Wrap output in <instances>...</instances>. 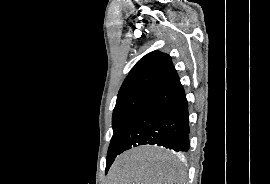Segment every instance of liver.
<instances>
[{"mask_svg":"<svg viewBox=\"0 0 270 184\" xmlns=\"http://www.w3.org/2000/svg\"><path fill=\"white\" fill-rule=\"evenodd\" d=\"M108 180L109 184H186V174L172 165L167 151L145 145L119 155Z\"/></svg>","mask_w":270,"mask_h":184,"instance_id":"obj_1","label":"liver"}]
</instances>
